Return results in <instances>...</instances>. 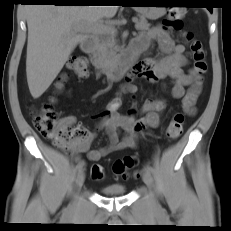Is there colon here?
Returning a JSON list of instances; mask_svg holds the SVG:
<instances>
[{"label":"colon","mask_w":231,"mask_h":231,"mask_svg":"<svg viewBox=\"0 0 231 231\" xmlns=\"http://www.w3.org/2000/svg\"><path fill=\"white\" fill-rule=\"evenodd\" d=\"M185 9L175 7L169 10L164 26L167 29L181 31L183 29V16ZM186 38L190 45L193 68L196 75L201 78L207 71L206 52L201 41L194 38L192 33H187ZM67 68L79 78H85L88 74V61L85 57L74 56L67 62ZM61 88V85H59ZM185 116L182 112L176 113L168 124L166 136L169 140H176L183 131ZM33 125L36 130L45 138L51 140L59 148H67L72 143L83 139L87 131L80 127L65 125L58 119L51 105H44L35 114ZM134 165V159L126 156L115 161L113 170L116 175L126 178V170ZM93 180H102L105 176L104 168L100 164L91 167Z\"/></svg>","instance_id":"colon-1"}]
</instances>
